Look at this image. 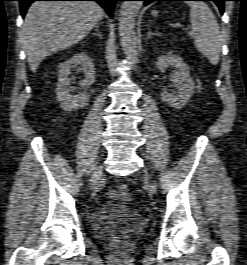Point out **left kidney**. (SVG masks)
<instances>
[{
	"mask_svg": "<svg viewBox=\"0 0 247 265\" xmlns=\"http://www.w3.org/2000/svg\"><path fill=\"white\" fill-rule=\"evenodd\" d=\"M169 66L178 69L174 75V84L177 87V92L168 93L167 91H162L160 96L169 106L180 109L189 101L194 93V80L190 75L188 65L181 57L174 55L172 52L158 57L156 62V67L159 70Z\"/></svg>",
	"mask_w": 247,
	"mask_h": 265,
	"instance_id": "5707ae66",
	"label": "left kidney"
}]
</instances>
